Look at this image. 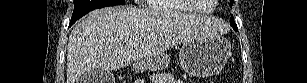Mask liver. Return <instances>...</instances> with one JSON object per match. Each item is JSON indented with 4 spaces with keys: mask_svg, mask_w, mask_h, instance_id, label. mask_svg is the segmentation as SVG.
<instances>
[{
    "mask_svg": "<svg viewBox=\"0 0 307 83\" xmlns=\"http://www.w3.org/2000/svg\"><path fill=\"white\" fill-rule=\"evenodd\" d=\"M223 29L219 22L198 15L117 7L92 11L70 33L67 83H79L90 69L109 72L162 54L181 42L219 37Z\"/></svg>",
    "mask_w": 307,
    "mask_h": 83,
    "instance_id": "6515ba94",
    "label": "liver"
}]
</instances>
